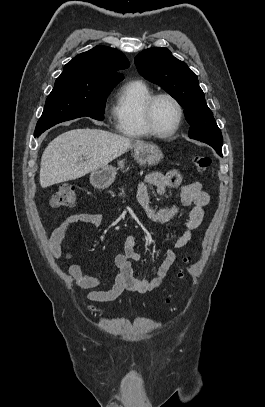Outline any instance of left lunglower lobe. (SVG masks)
<instances>
[{"label":"left lung lower lobe","mask_w":265,"mask_h":407,"mask_svg":"<svg viewBox=\"0 0 265 407\" xmlns=\"http://www.w3.org/2000/svg\"><path fill=\"white\" fill-rule=\"evenodd\" d=\"M211 146V145H210ZM214 149H215V151L220 155V156H222V151H220L216 146H212Z\"/></svg>","instance_id":"0a47b994"}]
</instances>
